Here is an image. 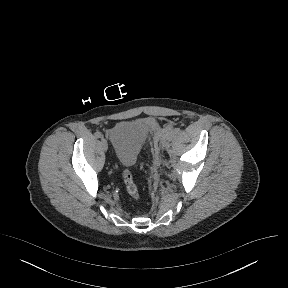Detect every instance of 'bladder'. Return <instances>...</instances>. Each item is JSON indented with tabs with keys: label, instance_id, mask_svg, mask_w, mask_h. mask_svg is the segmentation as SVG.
I'll return each mask as SVG.
<instances>
[{
	"label": "bladder",
	"instance_id": "1",
	"mask_svg": "<svg viewBox=\"0 0 288 288\" xmlns=\"http://www.w3.org/2000/svg\"><path fill=\"white\" fill-rule=\"evenodd\" d=\"M148 133L149 128L144 122L121 123L112 128L109 137L117 162L123 166L132 165Z\"/></svg>",
	"mask_w": 288,
	"mask_h": 288
}]
</instances>
